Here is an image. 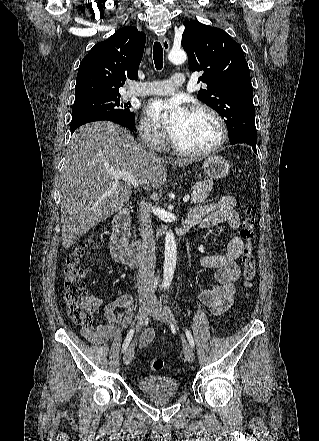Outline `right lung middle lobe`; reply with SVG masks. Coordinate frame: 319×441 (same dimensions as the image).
Listing matches in <instances>:
<instances>
[{
    "mask_svg": "<svg viewBox=\"0 0 319 441\" xmlns=\"http://www.w3.org/2000/svg\"><path fill=\"white\" fill-rule=\"evenodd\" d=\"M130 103H120L118 96H97L76 99L72 108V123L93 116H111L120 120L129 129H134V114Z\"/></svg>",
    "mask_w": 319,
    "mask_h": 441,
    "instance_id": "dd1d6c3e",
    "label": "right lung middle lobe"
}]
</instances>
